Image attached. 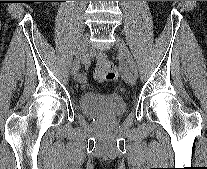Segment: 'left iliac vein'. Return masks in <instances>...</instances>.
<instances>
[{
  "mask_svg": "<svg viewBox=\"0 0 207 169\" xmlns=\"http://www.w3.org/2000/svg\"><path fill=\"white\" fill-rule=\"evenodd\" d=\"M116 44L119 51L120 56L124 59L129 65L135 64L134 59L125 44V42L119 36L116 37ZM137 75L134 74L131 70H126L124 73V80L129 85L133 86L136 84V77Z\"/></svg>",
  "mask_w": 207,
  "mask_h": 169,
  "instance_id": "1",
  "label": "left iliac vein"
}]
</instances>
